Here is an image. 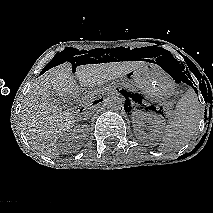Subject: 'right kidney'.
Segmentation results:
<instances>
[{
    "label": "right kidney",
    "instance_id": "1",
    "mask_svg": "<svg viewBox=\"0 0 213 213\" xmlns=\"http://www.w3.org/2000/svg\"><path fill=\"white\" fill-rule=\"evenodd\" d=\"M86 127L85 126H81V127H77L74 128L73 130H71L70 132L66 133L65 135L62 136L63 140H74V139H82L86 136H88V133L86 132ZM83 132L82 134H79ZM85 132V133H84Z\"/></svg>",
    "mask_w": 213,
    "mask_h": 213
}]
</instances>
